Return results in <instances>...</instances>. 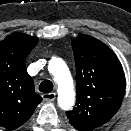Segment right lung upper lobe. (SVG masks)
Segmentation results:
<instances>
[{"label":"right lung upper lobe","instance_id":"obj_1","mask_svg":"<svg viewBox=\"0 0 131 131\" xmlns=\"http://www.w3.org/2000/svg\"><path fill=\"white\" fill-rule=\"evenodd\" d=\"M38 38L13 33L0 41V126L13 130L33 114L42 97L35 93L25 59Z\"/></svg>","mask_w":131,"mask_h":131}]
</instances>
